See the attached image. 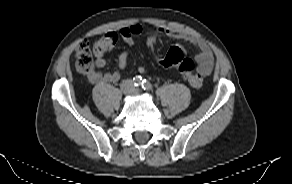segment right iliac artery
<instances>
[{"label":"right iliac artery","mask_w":292,"mask_h":184,"mask_svg":"<svg viewBox=\"0 0 292 184\" xmlns=\"http://www.w3.org/2000/svg\"><path fill=\"white\" fill-rule=\"evenodd\" d=\"M133 82H134V85L139 87L141 86L142 84V77L141 76H136L133 78Z\"/></svg>","instance_id":"obj_1"}]
</instances>
